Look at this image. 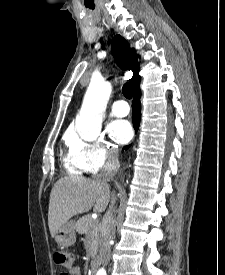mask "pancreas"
I'll return each instance as SVG.
<instances>
[{
  "mask_svg": "<svg viewBox=\"0 0 225 275\" xmlns=\"http://www.w3.org/2000/svg\"><path fill=\"white\" fill-rule=\"evenodd\" d=\"M74 227L79 234H85L90 238V253L93 255L99 242L100 223L93 220L90 215H86L80 218Z\"/></svg>",
  "mask_w": 225,
  "mask_h": 275,
  "instance_id": "cf45deb5",
  "label": "pancreas"
}]
</instances>
